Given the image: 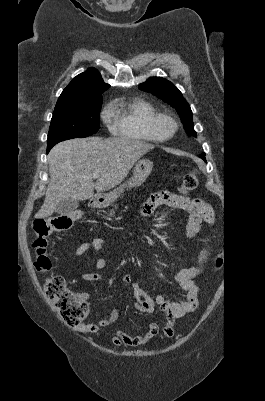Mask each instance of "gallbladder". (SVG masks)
<instances>
[{"label":"gallbladder","instance_id":"1","mask_svg":"<svg viewBox=\"0 0 265 401\" xmlns=\"http://www.w3.org/2000/svg\"><path fill=\"white\" fill-rule=\"evenodd\" d=\"M79 207V201H74V198H65V201H60L58 203L55 213H59V215H68V213H73L75 209Z\"/></svg>","mask_w":265,"mask_h":401}]
</instances>
